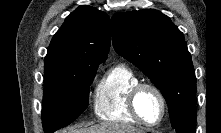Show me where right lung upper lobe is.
Listing matches in <instances>:
<instances>
[{
	"label": "right lung upper lobe",
	"instance_id": "1",
	"mask_svg": "<svg viewBox=\"0 0 221 133\" xmlns=\"http://www.w3.org/2000/svg\"><path fill=\"white\" fill-rule=\"evenodd\" d=\"M110 47V18L94 7L81 5L53 36L44 72L75 65L102 63Z\"/></svg>",
	"mask_w": 221,
	"mask_h": 133
}]
</instances>
